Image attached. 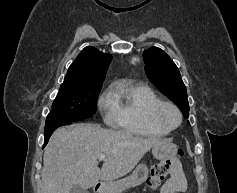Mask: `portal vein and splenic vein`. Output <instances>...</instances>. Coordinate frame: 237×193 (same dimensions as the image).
Wrapping results in <instances>:
<instances>
[{
	"label": "portal vein and splenic vein",
	"mask_w": 237,
	"mask_h": 193,
	"mask_svg": "<svg viewBox=\"0 0 237 193\" xmlns=\"http://www.w3.org/2000/svg\"><path fill=\"white\" fill-rule=\"evenodd\" d=\"M105 158H106V155L102 154V155L99 156L98 159H99V160H104Z\"/></svg>",
	"instance_id": "portal-vein-and-splenic-vein-1"
}]
</instances>
